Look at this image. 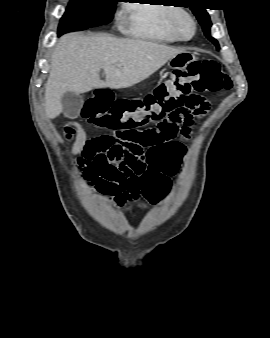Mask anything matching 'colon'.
Segmentation results:
<instances>
[{"instance_id": "colon-1", "label": "colon", "mask_w": 270, "mask_h": 338, "mask_svg": "<svg viewBox=\"0 0 270 338\" xmlns=\"http://www.w3.org/2000/svg\"><path fill=\"white\" fill-rule=\"evenodd\" d=\"M232 83L221 65L214 60L192 61L186 71L177 70L160 82L143 100H115L102 90L88 97L82 106L80 118L86 122L109 129L113 135L154 150L149 158L162 157L180 149L181 141L164 142L180 136L186 140L194 120L206 113L202 95L228 90ZM170 119L169 122L164 120ZM156 124L145 130L141 128ZM181 125V126H180ZM140 177L153 180L155 174L146 164V156L133 151L111 169L103 184L104 191L123 207L139 197Z\"/></svg>"}]
</instances>
